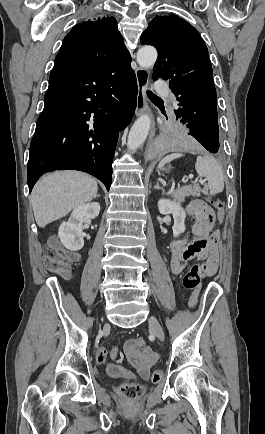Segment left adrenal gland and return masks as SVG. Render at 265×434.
Returning a JSON list of instances; mask_svg holds the SVG:
<instances>
[{
    "mask_svg": "<svg viewBox=\"0 0 265 434\" xmlns=\"http://www.w3.org/2000/svg\"><path fill=\"white\" fill-rule=\"evenodd\" d=\"M155 190H162L164 192L163 188H160L159 182H156V186H154Z\"/></svg>",
    "mask_w": 265,
    "mask_h": 434,
    "instance_id": "a2214340",
    "label": "left adrenal gland"
}]
</instances>
